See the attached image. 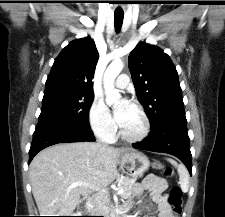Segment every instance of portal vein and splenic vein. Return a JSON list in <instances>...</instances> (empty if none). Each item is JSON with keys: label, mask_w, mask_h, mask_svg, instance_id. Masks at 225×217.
<instances>
[{"label": "portal vein and splenic vein", "mask_w": 225, "mask_h": 217, "mask_svg": "<svg viewBox=\"0 0 225 217\" xmlns=\"http://www.w3.org/2000/svg\"><path fill=\"white\" fill-rule=\"evenodd\" d=\"M81 185H85V183H82V182H74V183H72V186L73 187H75V186H81ZM101 192L106 193V190L102 189ZM122 193H123V189L118 188L117 194L118 195H121Z\"/></svg>", "instance_id": "18ae733b"}]
</instances>
